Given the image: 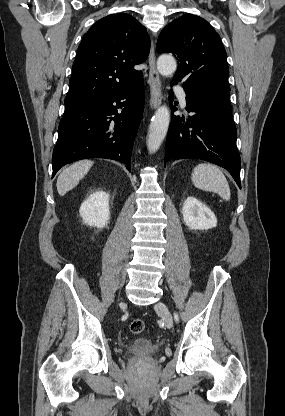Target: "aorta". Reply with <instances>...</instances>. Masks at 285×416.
I'll return each mask as SVG.
<instances>
[{"mask_svg":"<svg viewBox=\"0 0 285 416\" xmlns=\"http://www.w3.org/2000/svg\"><path fill=\"white\" fill-rule=\"evenodd\" d=\"M176 61L170 55H162L157 60V69L162 76H170L176 71ZM170 123V111L167 106H161L153 116L147 137V148L155 153L161 146Z\"/></svg>","mask_w":285,"mask_h":416,"instance_id":"obj_1","label":"aorta"}]
</instances>
